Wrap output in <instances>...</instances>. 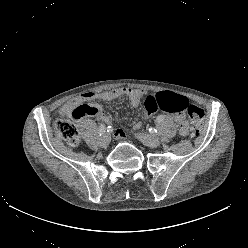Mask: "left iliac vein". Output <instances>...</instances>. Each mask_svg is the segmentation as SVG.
Segmentation results:
<instances>
[{"instance_id":"4c4485c4","label":"left iliac vein","mask_w":248,"mask_h":248,"mask_svg":"<svg viewBox=\"0 0 248 248\" xmlns=\"http://www.w3.org/2000/svg\"><path fill=\"white\" fill-rule=\"evenodd\" d=\"M137 137L148 147L156 148L160 145V139L154 135L139 133Z\"/></svg>"}]
</instances>
